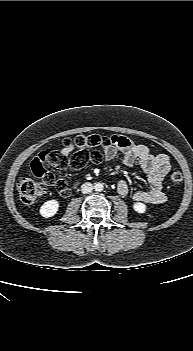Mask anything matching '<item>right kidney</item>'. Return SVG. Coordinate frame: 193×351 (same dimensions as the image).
<instances>
[{"mask_svg":"<svg viewBox=\"0 0 193 351\" xmlns=\"http://www.w3.org/2000/svg\"><path fill=\"white\" fill-rule=\"evenodd\" d=\"M59 208V202L57 200H48L40 208L41 216L49 218L54 216Z\"/></svg>","mask_w":193,"mask_h":351,"instance_id":"ca27d5eb","label":"right kidney"}]
</instances>
